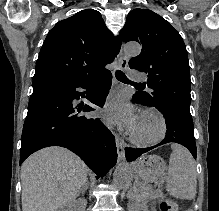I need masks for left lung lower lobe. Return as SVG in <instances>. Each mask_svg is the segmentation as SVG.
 <instances>
[{"instance_id": "obj_1", "label": "left lung lower lobe", "mask_w": 219, "mask_h": 211, "mask_svg": "<svg viewBox=\"0 0 219 211\" xmlns=\"http://www.w3.org/2000/svg\"><path fill=\"white\" fill-rule=\"evenodd\" d=\"M133 102L148 105L142 100H140L136 94L133 95ZM164 115V114H163ZM166 120V136L165 138L158 144L148 148H126V158L127 161L131 162L141 156L143 153L166 143L175 142L179 143L191 152L193 157L196 159L197 149L196 142L193 132V120L192 117H188L184 114L180 113H168L164 115Z\"/></svg>"}]
</instances>
